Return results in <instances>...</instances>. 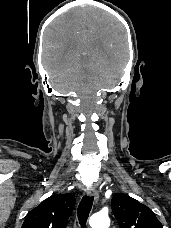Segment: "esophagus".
Here are the masks:
<instances>
[{
  "mask_svg": "<svg viewBox=\"0 0 171 228\" xmlns=\"http://www.w3.org/2000/svg\"><path fill=\"white\" fill-rule=\"evenodd\" d=\"M87 195H88L89 197H93L95 203L98 202V200H99V193H98V191L96 190L95 187H93V186L90 187V188L87 190Z\"/></svg>",
  "mask_w": 171,
  "mask_h": 228,
  "instance_id": "obj_1",
  "label": "esophagus"
}]
</instances>
